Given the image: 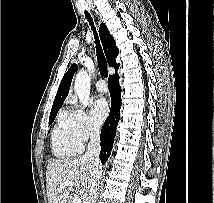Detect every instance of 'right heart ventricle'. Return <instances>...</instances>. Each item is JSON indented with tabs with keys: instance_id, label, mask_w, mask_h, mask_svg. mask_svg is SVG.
<instances>
[{
	"instance_id": "e07e8e85",
	"label": "right heart ventricle",
	"mask_w": 214,
	"mask_h": 203,
	"mask_svg": "<svg viewBox=\"0 0 214 203\" xmlns=\"http://www.w3.org/2000/svg\"><path fill=\"white\" fill-rule=\"evenodd\" d=\"M52 150L59 158L72 157L81 152L82 146L71 136L63 124L61 117L59 123L52 131Z\"/></svg>"
}]
</instances>
